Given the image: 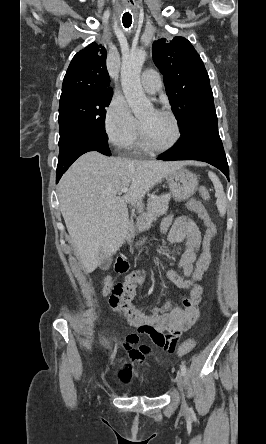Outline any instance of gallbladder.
Segmentation results:
<instances>
[{
    "label": "gallbladder",
    "mask_w": 266,
    "mask_h": 444,
    "mask_svg": "<svg viewBox=\"0 0 266 444\" xmlns=\"http://www.w3.org/2000/svg\"><path fill=\"white\" fill-rule=\"evenodd\" d=\"M100 254L102 255V250L100 251ZM110 265H111V258L104 259L100 264V268L103 270H108Z\"/></svg>",
    "instance_id": "1"
}]
</instances>
